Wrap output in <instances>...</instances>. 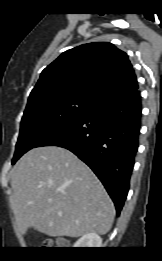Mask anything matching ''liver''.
I'll use <instances>...</instances> for the list:
<instances>
[{"label":"liver","instance_id":"1","mask_svg":"<svg viewBox=\"0 0 162 261\" xmlns=\"http://www.w3.org/2000/svg\"><path fill=\"white\" fill-rule=\"evenodd\" d=\"M11 206L21 234L29 228L48 236L104 235L114 205L90 168L58 146L34 148L11 172Z\"/></svg>","mask_w":162,"mask_h":261}]
</instances>
